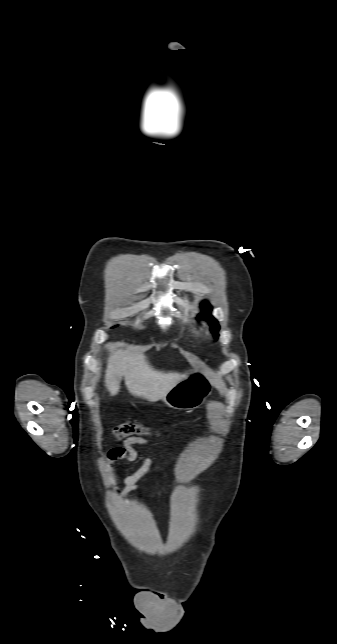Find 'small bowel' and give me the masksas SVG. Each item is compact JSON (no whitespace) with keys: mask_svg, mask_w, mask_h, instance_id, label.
Segmentation results:
<instances>
[{"mask_svg":"<svg viewBox=\"0 0 337 644\" xmlns=\"http://www.w3.org/2000/svg\"><path fill=\"white\" fill-rule=\"evenodd\" d=\"M145 444H147V441L144 438L130 437L124 441L123 446L112 448L107 455L108 470L112 469L113 463L117 460H126L129 462L136 461L139 454L134 446ZM152 463V458L150 456L146 457L135 472L125 477L123 484L127 491L135 489L137 481L150 469ZM111 483L114 485L113 481ZM113 494L115 497H118L120 492L117 489H114Z\"/></svg>","mask_w":337,"mask_h":644,"instance_id":"c3829d8e","label":"small bowel"}]
</instances>
